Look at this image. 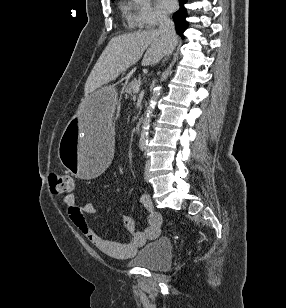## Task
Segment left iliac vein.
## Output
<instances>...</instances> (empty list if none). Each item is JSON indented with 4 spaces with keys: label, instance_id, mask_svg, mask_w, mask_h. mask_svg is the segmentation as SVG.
<instances>
[{
    "label": "left iliac vein",
    "instance_id": "1",
    "mask_svg": "<svg viewBox=\"0 0 286 308\" xmlns=\"http://www.w3.org/2000/svg\"><path fill=\"white\" fill-rule=\"evenodd\" d=\"M149 165V161H147L144 169V179L146 181L149 179Z\"/></svg>",
    "mask_w": 286,
    "mask_h": 308
}]
</instances>
